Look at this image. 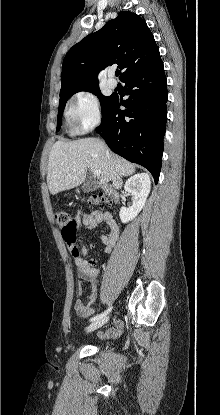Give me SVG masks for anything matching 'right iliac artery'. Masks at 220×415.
Masks as SVG:
<instances>
[{
	"label": "right iliac artery",
	"mask_w": 220,
	"mask_h": 415,
	"mask_svg": "<svg viewBox=\"0 0 220 415\" xmlns=\"http://www.w3.org/2000/svg\"><path fill=\"white\" fill-rule=\"evenodd\" d=\"M111 310H112V306H110L107 310H105L104 312H102L101 314H98V315H96V316H94V317H92L91 319H90V321L92 322V321H96V320H99V319H102L103 317H105L109 312H111Z\"/></svg>",
	"instance_id": "right-iliac-artery-1"
}]
</instances>
